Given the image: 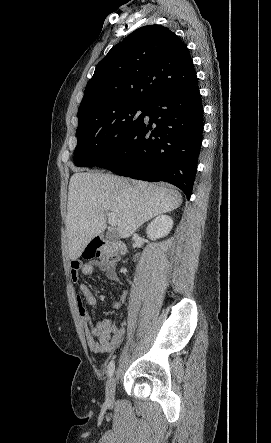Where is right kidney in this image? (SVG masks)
Returning <instances> with one entry per match:
<instances>
[{"mask_svg":"<svg viewBox=\"0 0 271 443\" xmlns=\"http://www.w3.org/2000/svg\"><path fill=\"white\" fill-rule=\"evenodd\" d=\"M173 225V220L170 216H157L155 220L148 223L146 227L147 237L150 239H158V237H165L171 231Z\"/></svg>","mask_w":271,"mask_h":443,"instance_id":"right-kidney-1","label":"right kidney"}]
</instances>
